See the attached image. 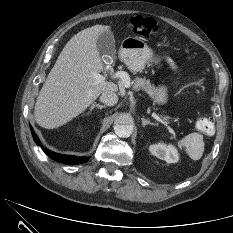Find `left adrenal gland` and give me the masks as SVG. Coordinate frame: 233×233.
<instances>
[{
    "instance_id": "left-adrenal-gland-1",
    "label": "left adrenal gland",
    "mask_w": 233,
    "mask_h": 233,
    "mask_svg": "<svg viewBox=\"0 0 233 233\" xmlns=\"http://www.w3.org/2000/svg\"><path fill=\"white\" fill-rule=\"evenodd\" d=\"M142 120V126L145 127L147 125H151V126H157L156 123H152L150 120L145 119V118H141Z\"/></svg>"
}]
</instances>
